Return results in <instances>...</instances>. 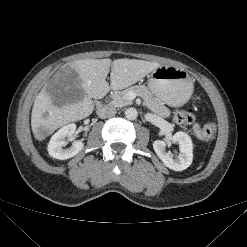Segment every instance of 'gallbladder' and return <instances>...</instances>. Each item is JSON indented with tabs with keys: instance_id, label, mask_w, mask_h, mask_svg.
I'll list each match as a JSON object with an SVG mask.
<instances>
[{
	"instance_id": "obj_1",
	"label": "gallbladder",
	"mask_w": 247,
	"mask_h": 247,
	"mask_svg": "<svg viewBox=\"0 0 247 247\" xmlns=\"http://www.w3.org/2000/svg\"><path fill=\"white\" fill-rule=\"evenodd\" d=\"M80 82L77 72L62 67L49 80L46 92L55 105L70 103L74 101L77 93L82 92L79 88Z\"/></svg>"
}]
</instances>
